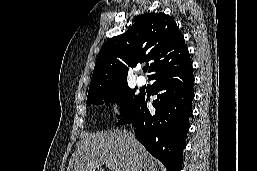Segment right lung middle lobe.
I'll use <instances>...</instances> for the list:
<instances>
[{
    "mask_svg": "<svg viewBox=\"0 0 257 171\" xmlns=\"http://www.w3.org/2000/svg\"><path fill=\"white\" fill-rule=\"evenodd\" d=\"M141 94H135L127 83L116 85L113 87L98 89L88 92L87 105H99L109 103L121 104L123 110L121 116L126 115L140 98Z\"/></svg>",
    "mask_w": 257,
    "mask_h": 171,
    "instance_id": "obj_1",
    "label": "right lung middle lobe"
}]
</instances>
